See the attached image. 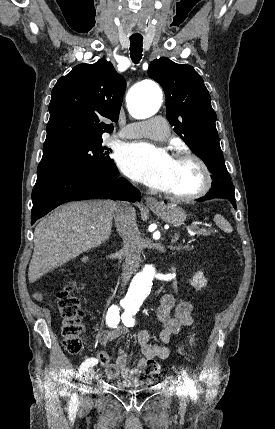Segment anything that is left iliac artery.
<instances>
[{
	"label": "left iliac artery",
	"mask_w": 275,
	"mask_h": 429,
	"mask_svg": "<svg viewBox=\"0 0 275 429\" xmlns=\"http://www.w3.org/2000/svg\"><path fill=\"white\" fill-rule=\"evenodd\" d=\"M137 311H138L137 307H132V306H126L125 307V312L122 315V322L125 326L132 327L135 324V319L133 316L136 314ZM182 376H183V380L185 381L186 385L190 388L192 398L194 400H196L197 395H196V391H195L193 382L188 377V374H187L186 370H184V369L182 370Z\"/></svg>",
	"instance_id": "obj_1"
}]
</instances>
